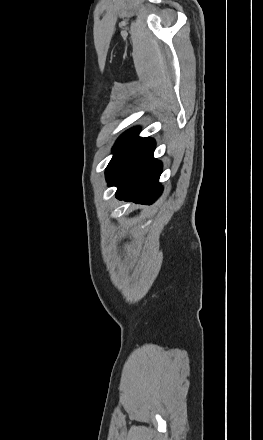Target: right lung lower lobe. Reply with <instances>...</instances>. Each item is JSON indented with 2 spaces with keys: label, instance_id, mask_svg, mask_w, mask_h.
Wrapping results in <instances>:
<instances>
[{
  "label": "right lung lower lobe",
  "instance_id": "obj_1",
  "mask_svg": "<svg viewBox=\"0 0 263 440\" xmlns=\"http://www.w3.org/2000/svg\"><path fill=\"white\" fill-rule=\"evenodd\" d=\"M155 141L142 138L127 158L107 178L109 186H117L116 197L151 204L161 194L159 177L162 163L154 159Z\"/></svg>",
  "mask_w": 263,
  "mask_h": 440
}]
</instances>
